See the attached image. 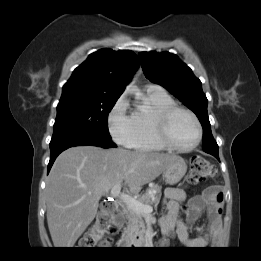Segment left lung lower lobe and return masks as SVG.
<instances>
[{"mask_svg":"<svg viewBox=\"0 0 261 261\" xmlns=\"http://www.w3.org/2000/svg\"><path fill=\"white\" fill-rule=\"evenodd\" d=\"M206 153H209L219 160L218 150L203 149Z\"/></svg>","mask_w":261,"mask_h":261,"instance_id":"0a47b994","label":"left lung lower lobe"}]
</instances>
